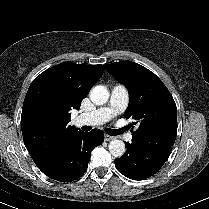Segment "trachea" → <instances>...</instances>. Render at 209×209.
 I'll use <instances>...</instances> for the list:
<instances>
[{"label":"trachea","mask_w":209,"mask_h":209,"mask_svg":"<svg viewBox=\"0 0 209 209\" xmlns=\"http://www.w3.org/2000/svg\"><path fill=\"white\" fill-rule=\"evenodd\" d=\"M83 129H84V131H89V130H90V128H86V126H84ZM124 131H125L124 128L116 129V130L110 129V128H106V129H105V132H106L108 135H111V136L119 135V134L123 133Z\"/></svg>","instance_id":"3493384b"}]
</instances>
